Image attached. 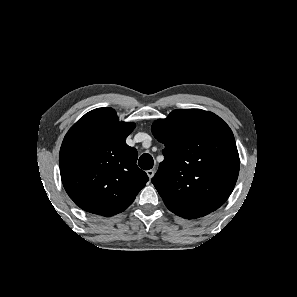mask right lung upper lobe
I'll list each match as a JSON object with an SVG mask.
<instances>
[{"mask_svg":"<svg viewBox=\"0 0 297 297\" xmlns=\"http://www.w3.org/2000/svg\"><path fill=\"white\" fill-rule=\"evenodd\" d=\"M134 123L119 122L112 108L85 114L66 134L59 155L63 186L81 209L112 216L124 211L148 181L137 150L125 143Z\"/></svg>","mask_w":297,"mask_h":297,"instance_id":"cb5924a9","label":"right lung upper lobe"}]
</instances>
